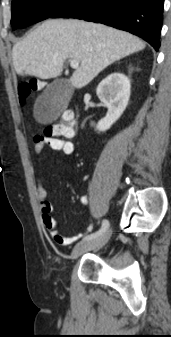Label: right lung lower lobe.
Returning <instances> with one entry per match:
<instances>
[{
  "label": "right lung lower lobe",
  "mask_w": 171,
  "mask_h": 337,
  "mask_svg": "<svg viewBox=\"0 0 171 337\" xmlns=\"http://www.w3.org/2000/svg\"><path fill=\"white\" fill-rule=\"evenodd\" d=\"M164 0H73L51 18H78L133 33L160 47Z\"/></svg>",
  "instance_id": "obj_1"
}]
</instances>
